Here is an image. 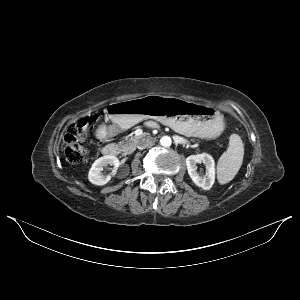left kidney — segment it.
I'll use <instances>...</instances> for the list:
<instances>
[{
  "mask_svg": "<svg viewBox=\"0 0 300 300\" xmlns=\"http://www.w3.org/2000/svg\"><path fill=\"white\" fill-rule=\"evenodd\" d=\"M203 163L206 173L200 176L197 172V164ZM188 174L193 182L204 190H209L215 181V162L211 155L207 153L191 155L186 158Z\"/></svg>",
  "mask_w": 300,
  "mask_h": 300,
  "instance_id": "obj_1",
  "label": "left kidney"
}]
</instances>
